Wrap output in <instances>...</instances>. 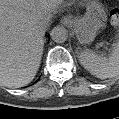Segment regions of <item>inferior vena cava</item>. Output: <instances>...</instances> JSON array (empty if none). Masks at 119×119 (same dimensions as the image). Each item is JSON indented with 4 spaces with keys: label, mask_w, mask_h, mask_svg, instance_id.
<instances>
[{
    "label": "inferior vena cava",
    "mask_w": 119,
    "mask_h": 119,
    "mask_svg": "<svg viewBox=\"0 0 119 119\" xmlns=\"http://www.w3.org/2000/svg\"><path fill=\"white\" fill-rule=\"evenodd\" d=\"M47 27V24L46 23H41V29H45Z\"/></svg>",
    "instance_id": "obj_1"
}]
</instances>
